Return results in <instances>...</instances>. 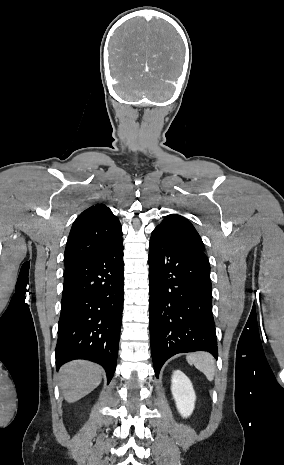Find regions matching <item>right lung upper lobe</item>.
Instances as JSON below:
<instances>
[{
	"label": "right lung upper lobe",
	"instance_id": "right-lung-upper-lobe-1",
	"mask_svg": "<svg viewBox=\"0 0 284 465\" xmlns=\"http://www.w3.org/2000/svg\"><path fill=\"white\" fill-rule=\"evenodd\" d=\"M122 239L118 218L103 204L83 211L72 225L64 254L65 269L107 251Z\"/></svg>",
	"mask_w": 284,
	"mask_h": 465
}]
</instances>
